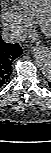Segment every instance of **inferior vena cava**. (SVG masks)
Wrapping results in <instances>:
<instances>
[{"instance_id":"602c4592","label":"inferior vena cava","mask_w":51,"mask_h":153,"mask_svg":"<svg viewBox=\"0 0 51 153\" xmlns=\"http://www.w3.org/2000/svg\"><path fill=\"white\" fill-rule=\"evenodd\" d=\"M1 36L8 43L20 42L26 38V35L15 27L4 28Z\"/></svg>"}]
</instances>
